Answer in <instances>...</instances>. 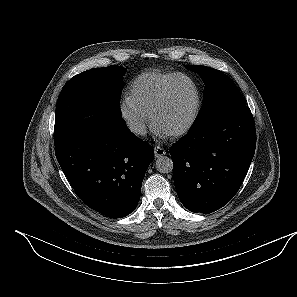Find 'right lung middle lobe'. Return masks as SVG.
Masks as SVG:
<instances>
[{"mask_svg": "<svg viewBox=\"0 0 297 297\" xmlns=\"http://www.w3.org/2000/svg\"><path fill=\"white\" fill-rule=\"evenodd\" d=\"M125 68H93L72 77L63 87L55 111L54 144L58 145L85 116L122 118L119 105Z\"/></svg>", "mask_w": 297, "mask_h": 297, "instance_id": "dd1d6c3e", "label": "right lung middle lobe"}]
</instances>
